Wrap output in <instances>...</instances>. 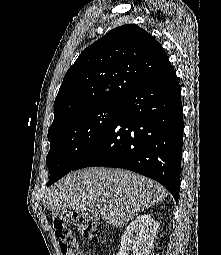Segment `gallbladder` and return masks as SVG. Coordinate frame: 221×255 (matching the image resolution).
Returning <instances> with one entry per match:
<instances>
[{
    "instance_id": "bac80fb5",
    "label": "gallbladder",
    "mask_w": 221,
    "mask_h": 255,
    "mask_svg": "<svg viewBox=\"0 0 221 255\" xmlns=\"http://www.w3.org/2000/svg\"><path fill=\"white\" fill-rule=\"evenodd\" d=\"M90 211H91V214L94 215V216L99 215V211L97 209H95V208L90 210Z\"/></svg>"
}]
</instances>
